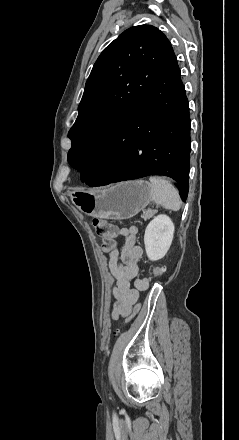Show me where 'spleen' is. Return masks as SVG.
I'll list each match as a JSON object with an SVG mask.
<instances>
[{
    "label": "spleen",
    "mask_w": 239,
    "mask_h": 440,
    "mask_svg": "<svg viewBox=\"0 0 239 440\" xmlns=\"http://www.w3.org/2000/svg\"><path fill=\"white\" fill-rule=\"evenodd\" d=\"M149 180L153 188L152 200L156 204H161L166 210H173V212L180 210L182 202L179 192L168 180L160 176H151Z\"/></svg>",
    "instance_id": "obj_1"
}]
</instances>
